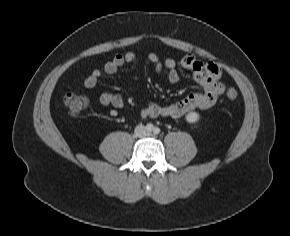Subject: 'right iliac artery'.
Segmentation results:
<instances>
[{
  "label": "right iliac artery",
  "instance_id": "right-iliac-artery-1",
  "mask_svg": "<svg viewBox=\"0 0 290 236\" xmlns=\"http://www.w3.org/2000/svg\"><path fill=\"white\" fill-rule=\"evenodd\" d=\"M146 129L148 130V131H153V129H154V126H153V124H151V123H149V124H147L146 125Z\"/></svg>",
  "mask_w": 290,
  "mask_h": 236
}]
</instances>
